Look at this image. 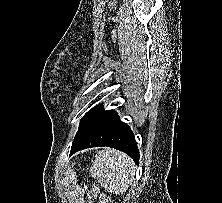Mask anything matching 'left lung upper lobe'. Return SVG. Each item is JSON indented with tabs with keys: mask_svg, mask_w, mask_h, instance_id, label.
<instances>
[{
	"mask_svg": "<svg viewBox=\"0 0 222 203\" xmlns=\"http://www.w3.org/2000/svg\"><path fill=\"white\" fill-rule=\"evenodd\" d=\"M101 107L102 105L95 106L90 111H88L86 115L80 120L79 129L78 132L76 133L75 138L84 130V128L87 126V124L91 121V119L94 117V115L99 111Z\"/></svg>",
	"mask_w": 222,
	"mask_h": 203,
	"instance_id": "obj_1",
	"label": "left lung upper lobe"
}]
</instances>
